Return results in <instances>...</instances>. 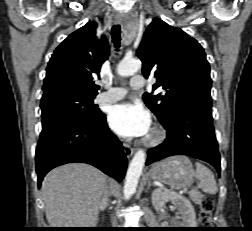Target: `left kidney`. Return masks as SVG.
I'll return each instance as SVG.
<instances>
[{"label": "left kidney", "mask_w": 252, "mask_h": 231, "mask_svg": "<svg viewBox=\"0 0 252 231\" xmlns=\"http://www.w3.org/2000/svg\"><path fill=\"white\" fill-rule=\"evenodd\" d=\"M167 201H171L178 214L181 215L180 227L195 228L197 226L194 207L187 198L168 189L157 188L152 192V204L157 211L161 210Z\"/></svg>", "instance_id": "1"}]
</instances>
